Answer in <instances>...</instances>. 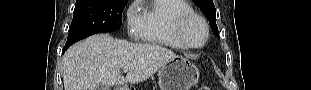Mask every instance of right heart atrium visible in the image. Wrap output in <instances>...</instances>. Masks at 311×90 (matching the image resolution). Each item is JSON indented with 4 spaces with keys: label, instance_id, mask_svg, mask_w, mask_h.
<instances>
[{
    "label": "right heart atrium",
    "instance_id": "1",
    "mask_svg": "<svg viewBox=\"0 0 311 90\" xmlns=\"http://www.w3.org/2000/svg\"><path fill=\"white\" fill-rule=\"evenodd\" d=\"M139 0L133 1L126 10V26L128 35L136 38L141 34L143 17L138 10Z\"/></svg>",
    "mask_w": 311,
    "mask_h": 90
}]
</instances>
